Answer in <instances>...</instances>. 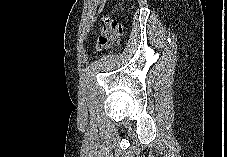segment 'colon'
<instances>
[{"mask_svg":"<svg viewBox=\"0 0 227 157\" xmlns=\"http://www.w3.org/2000/svg\"><path fill=\"white\" fill-rule=\"evenodd\" d=\"M100 33L96 48L99 51L112 49L120 43L123 27L116 21L104 19L100 27Z\"/></svg>","mask_w":227,"mask_h":157,"instance_id":"obj_1","label":"colon"}]
</instances>
